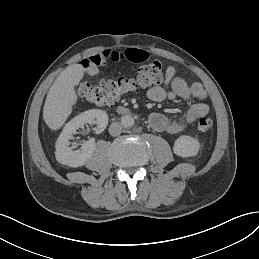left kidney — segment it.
Wrapping results in <instances>:
<instances>
[{
    "mask_svg": "<svg viewBox=\"0 0 259 259\" xmlns=\"http://www.w3.org/2000/svg\"><path fill=\"white\" fill-rule=\"evenodd\" d=\"M200 148V143L197 139L190 136H180L174 144V153L180 157L196 156Z\"/></svg>",
    "mask_w": 259,
    "mask_h": 259,
    "instance_id": "1",
    "label": "left kidney"
}]
</instances>
